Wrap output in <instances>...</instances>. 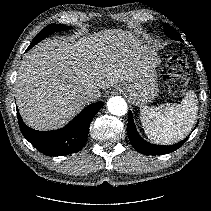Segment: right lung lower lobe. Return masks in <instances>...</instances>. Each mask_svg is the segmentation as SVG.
Instances as JSON below:
<instances>
[{
  "label": "right lung lower lobe",
  "instance_id": "obj_1",
  "mask_svg": "<svg viewBox=\"0 0 211 211\" xmlns=\"http://www.w3.org/2000/svg\"><path fill=\"white\" fill-rule=\"evenodd\" d=\"M102 106V102L89 105L69 124L55 131H37L28 127L18 112L17 118L24 137L41 153L46 156L68 155L83 148L90 123Z\"/></svg>",
  "mask_w": 211,
  "mask_h": 211
}]
</instances>
